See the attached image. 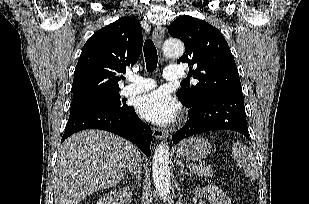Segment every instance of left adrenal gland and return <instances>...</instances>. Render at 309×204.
<instances>
[{"instance_id":"a2214340","label":"left adrenal gland","mask_w":309,"mask_h":204,"mask_svg":"<svg viewBox=\"0 0 309 204\" xmlns=\"http://www.w3.org/2000/svg\"><path fill=\"white\" fill-rule=\"evenodd\" d=\"M180 172H181V178H180L181 181L184 179V177H185L186 175H187V176L190 175V173H188V172L184 169L183 166H181Z\"/></svg>"}]
</instances>
